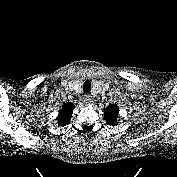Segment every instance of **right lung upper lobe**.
I'll return each instance as SVG.
<instances>
[{"instance_id": "1", "label": "right lung upper lobe", "mask_w": 177, "mask_h": 177, "mask_svg": "<svg viewBox=\"0 0 177 177\" xmlns=\"http://www.w3.org/2000/svg\"><path fill=\"white\" fill-rule=\"evenodd\" d=\"M73 108V103H67L62 106V110L59 112V115L57 117L59 126H65L69 124L70 119L72 117Z\"/></svg>"}]
</instances>
